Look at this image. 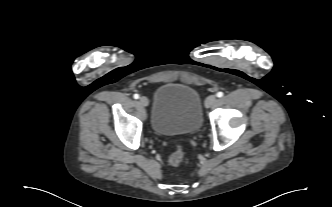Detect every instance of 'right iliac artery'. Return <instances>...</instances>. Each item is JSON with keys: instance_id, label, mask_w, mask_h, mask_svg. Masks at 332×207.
<instances>
[{"instance_id": "82829eb1", "label": "right iliac artery", "mask_w": 332, "mask_h": 207, "mask_svg": "<svg viewBox=\"0 0 332 207\" xmlns=\"http://www.w3.org/2000/svg\"><path fill=\"white\" fill-rule=\"evenodd\" d=\"M134 99H138L139 98V95L138 94H134Z\"/></svg>"}]
</instances>
